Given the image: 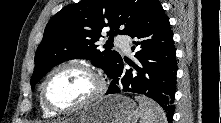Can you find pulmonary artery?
<instances>
[{"label": "pulmonary artery", "instance_id": "e3ab8cb5", "mask_svg": "<svg viewBox=\"0 0 221 123\" xmlns=\"http://www.w3.org/2000/svg\"><path fill=\"white\" fill-rule=\"evenodd\" d=\"M116 44L125 52H129L130 46L128 39L124 36H117L115 39Z\"/></svg>", "mask_w": 221, "mask_h": 123}]
</instances>
